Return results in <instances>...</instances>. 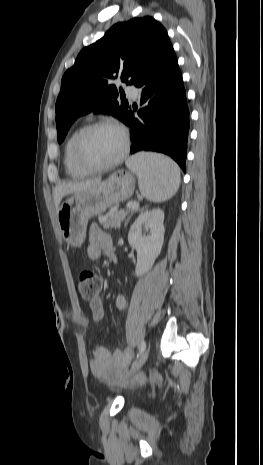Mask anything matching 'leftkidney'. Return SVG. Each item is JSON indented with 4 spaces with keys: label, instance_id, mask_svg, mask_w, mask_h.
Listing matches in <instances>:
<instances>
[{
    "label": "left kidney",
    "instance_id": "obj_1",
    "mask_svg": "<svg viewBox=\"0 0 263 465\" xmlns=\"http://www.w3.org/2000/svg\"><path fill=\"white\" fill-rule=\"evenodd\" d=\"M163 222L164 212L153 209L141 213L130 227L128 242L137 252L135 274L138 277L151 269L161 252L165 233Z\"/></svg>",
    "mask_w": 263,
    "mask_h": 465
}]
</instances>
